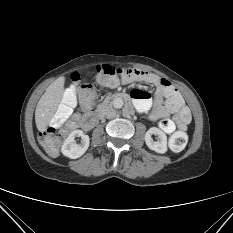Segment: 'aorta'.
Listing matches in <instances>:
<instances>
[{
    "label": "aorta",
    "instance_id": "obj_1",
    "mask_svg": "<svg viewBox=\"0 0 233 233\" xmlns=\"http://www.w3.org/2000/svg\"><path fill=\"white\" fill-rule=\"evenodd\" d=\"M113 105H114L115 108L120 109V108L123 107L124 101H123L122 98H116V99H114V101H113Z\"/></svg>",
    "mask_w": 233,
    "mask_h": 233
}]
</instances>
